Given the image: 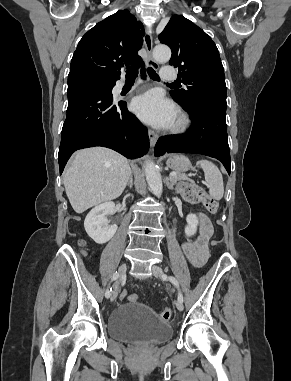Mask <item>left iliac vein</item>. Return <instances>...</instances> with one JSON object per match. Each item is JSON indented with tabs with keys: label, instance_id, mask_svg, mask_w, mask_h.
Listing matches in <instances>:
<instances>
[{
	"label": "left iliac vein",
	"instance_id": "1",
	"mask_svg": "<svg viewBox=\"0 0 291 381\" xmlns=\"http://www.w3.org/2000/svg\"><path fill=\"white\" fill-rule=\"evenodd\" d=\"M152 272H153V274H154L155 277H157V278H163V270H162L161 267L156 266V265L152 266ZM176 307H177V309H178L179 311H182L183 308H184V306H183V302H182L181 300L178 299V300L176 301Z\"/></svg>",
	"mask_w": 291,
	"mask_h": 381
}]
</instances>
